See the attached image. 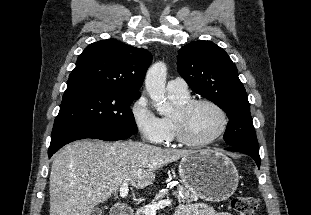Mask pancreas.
I'll list each match as a JSON object with an SVG mask.
<instances>
[{"instance_id":"1","label":"pancreas","mask_w":311,"mask_h":215,"mask_svg":"<svg viewBox=\"0 0 311 215\" xmlns=\"http://www.w3.org/2000/svg\"><path fill=\"white\" fill-rule=\"evenodd\" d=\"M178 192H174L175 197L177 198L179 203H191L193 201L197 200V196L193 193H190L189 190H187L185 187L179 185L177 187ZM168 195V191L159 192L156 194L155 198L152 200V204L156 203V201H159L160 199L164 198ZM135 215H145V208H140L136 211Z\"/></svg>"}]
</instances>
